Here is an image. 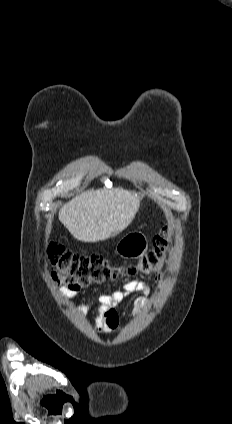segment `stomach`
<instances>
[{
    "label": "stomach",
    "mask_w": 232,
    "mask_h": 424,
    "mask_svg": "<svg viewBox=\"0 0 232 424\" xmlns=\"http://www.w3.org/2000/svg\"><path fill=\"white\" fill-rule=\"evenodd\" d=\"M148 248L146 236L139 231L125 235L116 245V253L124 258H138Z\"/></svg>",
    "instance_id": "0dacf381"
}]
</instances>
